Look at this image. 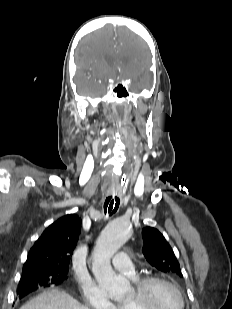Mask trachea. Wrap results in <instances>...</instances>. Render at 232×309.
<instances>
[{"instance_id": "1", "label": "trachea", "mask_w": 232, "mask_h": 309, "mask_svg": "<svg viewBox=\"0 0 232 309\" xmlns=\"http://www.w3.org/2000/svg\"><path fill=\"white\" fill-rule=\"evenodd\" d=\"M120 199L117 196V192L113 191L105 200L104 211L105 214L113 215L119 207Z\"/></svg>"}]
</instances>
